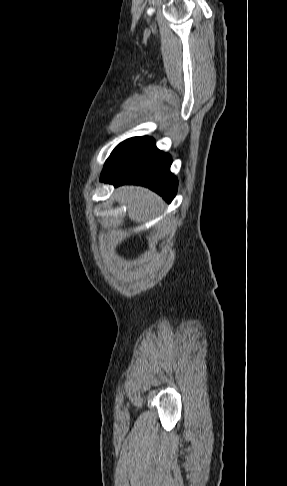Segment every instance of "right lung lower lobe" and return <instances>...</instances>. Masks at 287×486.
I'll use <instances>...</instances> for the list:
<instances>
[{"mask_svg":"<svg viewBox=\"0 0 287 486\" xmlns=\"http://www.w3.org/2000/svg\"><path fill=\"white\" fill-rule=\"evenodd\" d=\"M171 162L170 155L158 150L152 138L141 137L107 159L101 181L146 186L170 203L178 184L170 172Z\"/></svg>","mask_w":287,"mask_h":486,"instance_id":"98d812e1","label":"right lung lower lobe"}]
</instances>
